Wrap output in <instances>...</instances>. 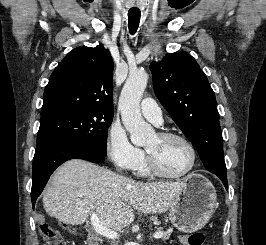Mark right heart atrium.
Segmentation results:
<instances>
[{
    "mask_svg": "<svg viewBox=\"0 0 266 245\" xmlns=\"http://www.w3.org/2000/svg\"><path fill=\"white\" fill-rule=\"evenodd\" d=\"M105 148L108 157L122 168L133 170L142 162V150L132 144L119 124H111L109 126Z\"/></svg>",
    "mask_w": 266,
    "mask_h": 245,
    "instance_id": "obj_1",
    "label": "right heart atrium"
}]
</instances>
